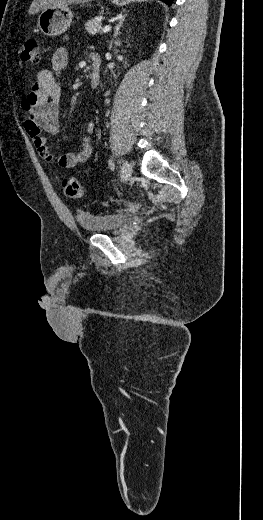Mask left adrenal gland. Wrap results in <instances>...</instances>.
I'll use <instances>...</instances> for the list:
<instances>
[{"mask_svg":"<svg viewBox=\"0 0 263 520\" xmlns=\"http://www.w3.org/2000/svg\"><path fill=\"white\" fill-rule=\"evenodd\" d=\"M124 20H125V16H123V17L119 20L118 24L116 25V27H115V31H114V38H116V37L120 34V29H121V27H122V25H123Z\"/></svg>","mask_w":263,"mask_h":520,"instance_id":"a2214340","label":"left adrenal gland"}]
</instances>
